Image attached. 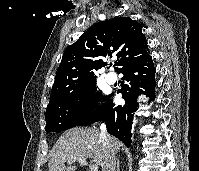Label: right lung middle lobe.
Returning a JSON list of instances; mask_svg holds the SVG:
<instances>
[{
  "mask_svg": "<svg viewBox=\"0 0 199 171\" xmlns=\"http://www.w3.org/2000/svg\"><path fill=\"white\" fill-rule=\"evenodd\" d=\"M96 91V82H94L47 106L45 114L46 131L61 132L75 127L77 122L91 113L90 109L97 107L98 100L103 101L106 98Z\"/></svg>",
  "mask_w": 199,
  "mask_h": 171,
  "instance_id": "obj_1",
  "label": "right lung middle lobe"
}]
</instances>
